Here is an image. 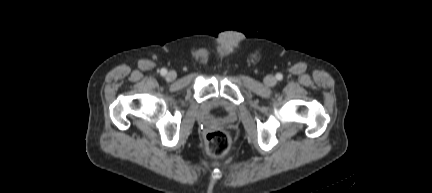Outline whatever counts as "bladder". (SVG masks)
<instances>
[{
    "instance_id": "bladder-1",
    "label": "bladder",
    "mask_w": 432,
    "mask_h": 193,
    "mask_svg": "<svg viewBox=\"0 0 432 193\" xmlns=\"http://www.w3.org/2000/svg\"><path fill=\"white\" fill-rule=\"evenodd\" d=\"M224 103H225V100L223 98L214 97V98L207 101L206 106H207L208 110L223 109Z\"/></svg>"
}]
</instances>
